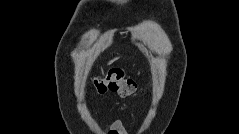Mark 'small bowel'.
<instances>
[{"mask_svg": "<svg viewBox=\"0 0 239 134\" xmlns=\"http://www.w3.org/2000/svg\"><path fill=\"white\" fill-rule=\"evenodd\" d=\"M111 131L113 134H126L121 120H116L111 124Z\"/></svg>", "mask_w": 239, "mask_h": 134, "instance_id": "obj_1", "label": "small bowel"}]
</instances>
